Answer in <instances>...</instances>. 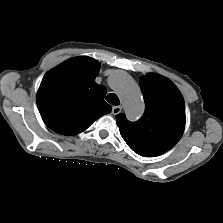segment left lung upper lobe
<instances>
[{"label":"left lung upper lobe","mask_w":223,"mask_h":223,"mask_svg":"<svg viewBox=\"0 0 223 223\" xmlns=\"http://www.w3.org/2000/svg\"><path fill=\"white\" fill-rule=\"evenodd\" d=\"M145 112L136 122L118 114L117 125L128 146L144 157L165 153L180 140L185 128V103L167 78L148 74L140 79Z\"/></svg>","instance_id":"obj_1"}]
</instances>
